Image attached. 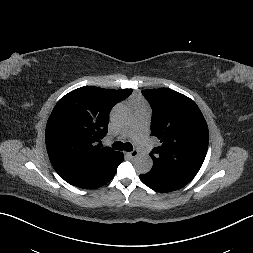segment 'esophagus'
<instances>
[{"mask_svg": "<svg viewBox=\"0 0 253 253\" xmlns=\"http://www.w3.org/2000/svg\"><path fill=\"white\" fill-rule=\"evenodd\" d=\"M138 151L137 150H133L131 152L128 153V155L131 157V158H135L138 156Z\"/></svg>", "mask_w": 253, "mask_h": 253, "instance_id": "1", "label": "esophagus"}]
</instances>
